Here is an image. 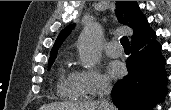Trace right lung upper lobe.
I'll list each match as a JSON object with an SVG mask.
<instances>
[{
  "instance_id": "right-lung-upper-lobe-1",
  "label": "right lung upper lobe",
  "mask_w": 171,
  "mask_h": 110,
  "mask_svg": "<svg viewBox=\"0 0 171 110\" xmlns=\"http://www.w3.org/2000/svg\"><path fill=\"white\" fill-rule=\"evenodd\" d=\"M116 12L118 20L131 27L134 30L132 35V42L140 40L148 36L153 30L149 27L146 17L141 13L139 6L134 1H116ZM75 24L67 26L58 35L52 50L50 57L56 56L57 51L65 38L70 34Z\"/></svg>"
}]
</instances>
